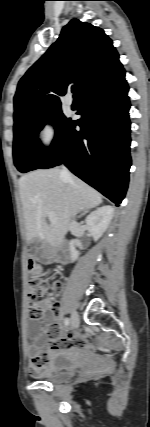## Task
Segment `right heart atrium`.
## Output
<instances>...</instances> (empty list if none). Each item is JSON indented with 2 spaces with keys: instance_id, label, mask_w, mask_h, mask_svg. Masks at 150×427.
I'll list each match as a JSON object with an SVG mask.
<instances>
[{
  "instance_id": "right-heart-atrium-1",
  "label": "right heart atrium",
  "mask_w": 150,
  "mask_h": 427,
  "mask_svg": "<svg viewBox=\"0 0 150 427\" xmlns=\"http://www.w3.org/2000/svg\"><path fill=\"white\" fill-rule=\"evenodd\" d=\"M59 139V127L52 117L46 118L38 126L36 133V143L38 147L48 152L52 150Z\"/></svg>"
}]
</instances>
